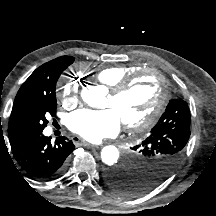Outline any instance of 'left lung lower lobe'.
<instances>
[{
  "label": "left lung lower lobe",
  "mask_w": 216,
  "mask_h": 216,
  "mask_svg": "<svg viewBox=\"0 0 216 216\" xmlns=\"http://www.w3.org/2000/svg\"><path fill=\"white\" fill-rule=\"evenodd\" d=\"M131 170L132 168L129 164H124L118 168L109 170L105 175V180L117 193L134 197L136 195L133 194L134 185L130 179Z\"/></svg>",
  "instance_id": "left-lung-lower-lobe-1"
}]
</instances>
